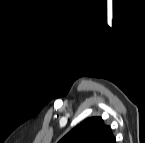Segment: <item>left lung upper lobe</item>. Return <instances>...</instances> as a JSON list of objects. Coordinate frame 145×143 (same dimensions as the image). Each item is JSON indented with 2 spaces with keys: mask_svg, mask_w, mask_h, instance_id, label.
I'll return each instance as SVG.
<instances>
[{
  "mask_svg": "<svg viewBox=\"0 0 145 143\" xmlns=\"http://www.w3.org/2000/svg\"><path fill=\"white\" fill-rule=\"evenodd\" d=\"M60 143H115V137L102 118L91 117L72 129Z\"/></svg>",
  "mask_w": 145,
  "mask_h": 143,
  "instance_id": "5c2ea615",
  "label": "left lung upper lobe"
}]
</instances>
